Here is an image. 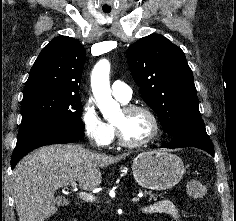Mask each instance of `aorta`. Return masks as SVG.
Instances as JSON below:
<instances>
[{
  "label": "aorta",
  "mask_w": 236,
  "mask_h": 221,
  "mask_svg": "<svg viewBox=\"0 0 236 221\" xmlns=\"http://www.w3.org/2000/svg\"><path fill=\"white\" fill-rule=\"evenodd\" d=\"M98 65L103 69V77L100 83L93 88L98 107L103 116L107 118L118 117L121 115V108L119 103L111 95L109 84L110 64L107 60H101Z\"/></svg>",
  "instance_id": "762f6f07"
}]
</instances>
